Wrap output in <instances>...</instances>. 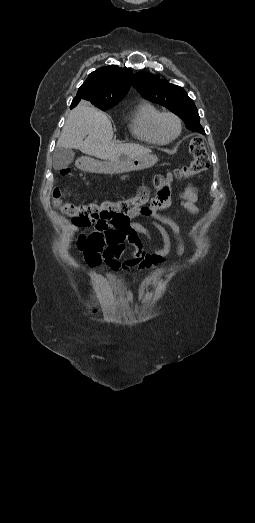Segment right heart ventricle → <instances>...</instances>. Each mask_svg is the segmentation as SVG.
<instances>
[{"label": "right heart ventricle", "mask_w": 255, "mask_h": 523, "mask_svg": "<svg viewBox=\"0 0 255 523\" xmlns=\"http://www.w3.org/2000/svg\"><path fill=\"white\" fill-rule=\"evenodd\" d=\"M161 112V109L153 102L142 101L137 106L132 118L130 125L132 135L147 143L164 144L165 140L156 129V120Z\"/></svg>", "instance_id": "1"}]
</instances>
